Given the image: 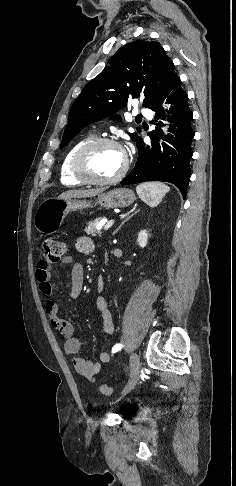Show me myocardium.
<instances>
[{"instance_id": "obj_1", "label": "myocardium", "mask_w": 236, "mask_h": 486, "mask_svg": "<svg viewBox=\"0 0 236 486\" xmlns=\"http://www.w3.org/2000/svg\"><path fill=\"white\" fill-rule=\"evenodd\" d=\"M101 145H111L119 148L123 155H124V164L122 169L119 171L118 174L111 178H97L93 176L86 167V159L89 153L94 150L96 147ZM129 168V160L126 155V152L122 145L111 138L107 137H97L90 139L86 143H84L74 154L72 163H71V170L73 175L83 182L84 184H91V185H110L119 182L127 173Z\"/></svg>"}]
</instances>
